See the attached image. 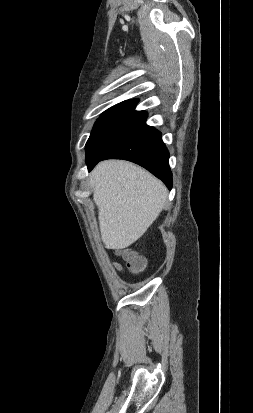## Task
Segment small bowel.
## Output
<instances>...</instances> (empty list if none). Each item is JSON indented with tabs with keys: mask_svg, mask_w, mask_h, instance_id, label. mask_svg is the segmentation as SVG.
<instances>
[{
	"mask_svg": "<svg viewBox=\"0 0 253 413\" xmlns=\"http://www.w3.org/2000/svg\"><path fill=\"white\" fill-rule=\"evenodd\" d=\"M113 266H114V268H115L116 270H118V271H120V272L123 271V268H122V266H121L119 263L113 262Z\"/></svg>",
	"mask_w": 253,
	"mask_h": 413,
	"instance_id": "1",
	"label": "small bowel"
}]
</instances>
